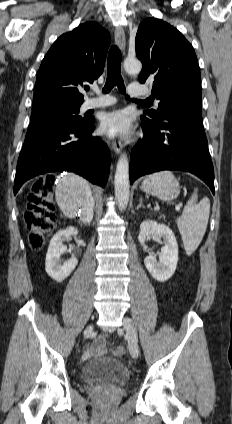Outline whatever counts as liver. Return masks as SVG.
<instances>
[{"mask_svg": "<svg viewBox=\"0 0 232 424\" xmlns=\"http://www.w3.org/2000/svg\"><path fill=\"white\" fill-rule=\"evenodd\" d=\"M91 192L87 180L74 173L61 175L55 189L56 202L66 217L79 213L85 195Z\"/></svg>", "mask_w": 232, "mask_h": 424, "instance_id": "1", "label": "liver"}]
</instances>
